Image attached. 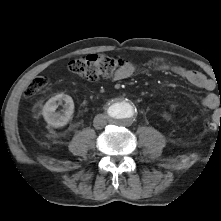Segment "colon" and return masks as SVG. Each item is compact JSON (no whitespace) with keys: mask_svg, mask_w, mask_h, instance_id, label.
<instances>
[{"mask_svg":"<svg viewBox=\"0 0 221 221\" xmlns=\"http://www.w3.org/2000/svg\"><path fill=\"white\" fill-rule=\"evenodd\" d=\"M123 59L110 57L104 54H91L75 59L69 63V70L74 74L88 79L109 78L114 76L125 66ZM48 84L46 77L34 79L26 89L27 96H34L42 91ZM207 129L215 130L221 128V109L213 112L206 120Z\"/></svg>","mask_w":221,"mask_h":221,"instance_id":"obj_1","label":"colon"}]
</instances>
